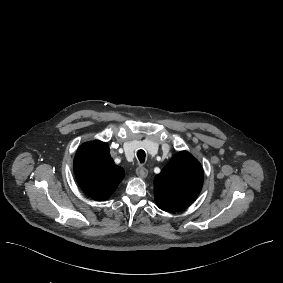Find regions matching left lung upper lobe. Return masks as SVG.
<instances>
[{"instance_id": "obj_1", "label": "left lung upper lobe", "mask_w": 283, "mask_h": 283, "mask_svg": "<svg viewBox=\"0 0 283 283\" xmlns=\"http://www.w3.org/2000/svg\"><path fill=\"white\" fill-rule=\"evenodd\" d=\"M203 169L188 152L173 156L154 179V197L158 207L172 212L189 206L199 195L203 184Z\"/></svg>"}]
</instances>
